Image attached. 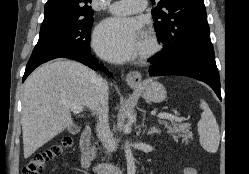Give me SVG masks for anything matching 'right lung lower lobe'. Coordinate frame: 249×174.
Returning <instances> with one entry per match:
<instances>
[{"label": "right lung lower lobe", "mask_w": 249, "mask_h": 174, "mask_svg": "<svg viewBox=\"0 0 249 174\" xmlns=\"http://www.w3.org/2000/svg\"><path fill=\"white\" fill-rule=\"evenodd\" d=\"M69 58L76 61H79L88 67L92 68L93 70H96V68L103 70L105 69L103 66H98V60L94 58V56L91 54V52H78V53H71V52H52V53H46L44 55H41L40 57L28 61L26 70L23 76V81L27 78V76L39 65H41L44 62H47L49 60L55 59V58Z\"/></svg>", "instance_id": "98d812e1"}]
</instances>
